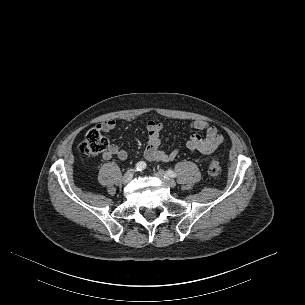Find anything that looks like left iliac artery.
<instances>
[{"mask_svg": "<svg viewBox=\"0 0 305 305\" xmlns=\"http://www.w3.org/2000/svg\"><path fill=\"white\" fill-rule=\"evenodd\" d=\"M166 177H171V178H175L176 177V173L173 172L172 170H168L166 171Z\"/></svg>", "mask_w": 305, "mask_h": 305, "instance_id": "obj_1", "label": "left iliac artery"}]
</instances>
